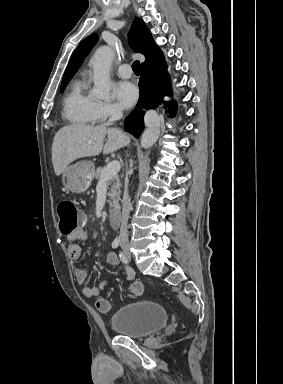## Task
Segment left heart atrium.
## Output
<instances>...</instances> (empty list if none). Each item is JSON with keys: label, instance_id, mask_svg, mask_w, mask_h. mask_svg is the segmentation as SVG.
I'll return each instance as SVG.
<instances>
[{"label": "left heart atrium", "instance_id": "1", "mask_svg": "<svg viewBox=\"0 0 283 384\" xmlns=\"http://www.w3.org/2000/svg\"><path fill=\"white\" fill-rule=\"evenodd\" d=\"M114 94L124 108L132 107L138 100V90L130 82L121 81L114 85Z\"/></svg>", "mask_w": 283, "mask_h": 384}]
</instances>
